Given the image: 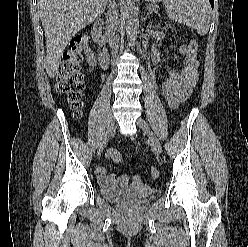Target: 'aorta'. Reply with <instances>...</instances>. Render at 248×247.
I'll list each match as a JSON object with an SVG mask.
<instances>
[{"label":"aorta","instance_id":"obj_1","mask_svg":"<svg viewBox=\"0 0 248 247\" xmlns=\"http://www.w3.org/2000/svg\"><path fill=\"white\" fill-rule=\"evenodd\" d=\"M126 14V34L128 45L133 47L137 38V31L139 28V6L138 0H126L125 6Z\"/></svg>","mask_w":248,"mask_h":247}]
</instances>
